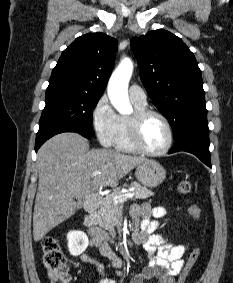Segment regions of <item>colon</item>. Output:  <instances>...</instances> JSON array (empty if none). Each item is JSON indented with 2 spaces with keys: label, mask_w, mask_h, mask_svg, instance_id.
<instances>
[{
  "label": "colon",
  "mask_w": 233,
  "mask_h": 283,
  "mask_svg": "<svg viewBox=\"0 0 233 283\" xmlns=\"http://www.w3.org/2000/svg\"><path fill=\"white\" fill-rule=\"evenodd\" d=\"M177 189L180 194H189L192 190V184L188 180H182L179 182ZM189 214L193 219L197 220L201 216V209L197 205H192L189 208ZM42 250L43 265L47 271L50 283H69L70 275L67 259L57 240L52 237H45L42 240ZM200 254L201 247H195L180 273L177 283H184L188 273L199 259Z\"/></svg>",
  "instance_id": "obj_1"
}]
</instances>
